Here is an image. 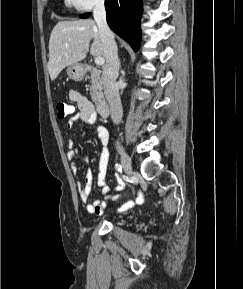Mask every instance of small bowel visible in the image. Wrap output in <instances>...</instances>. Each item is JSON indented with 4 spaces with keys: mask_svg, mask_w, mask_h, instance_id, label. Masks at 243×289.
I'll return each mask as SVG.
<instances>
[{
    "mask_svg": "<svg viewBox=\"0 0 243 289\" xmlns=\"http://www.w3.org/2000/svg\"><path fill=\"white\" fill-rule=\"evenodd\" d=\"M69 98L71 101L75 102L78 107V112L70 118L67 123L68 129H73L77 122H83L91 127H93L94 132L97 134L98 139L102 145L100 156H99V163H98V178H97V185L101 190L102 199H96L92 203L87 204L86 210L90 214L101 215L103 214L105 208V200L110 198V190L106 184V174L108 169V162H109V151L107 148L109 142V133L108 130L102 125H96L97 115L94 111L92 103L79 91L77 90H70L69 91ZM69 146L71 151L68 154L69 159L72 161V171L73 173H77L79 163L85 162V156L83 153L74 147L73 141L69 142ZM85 186H79V195L80 199L83 203H87L92 190V182H93V173L90 169L86 171L85 174ZM122 183H119L115 190H121ZM143 201L142 195L140 194L139 197L136 199V202L128 201L121 206L119 211H125L132 208L135 204H141Z\"/></svg>",
    "mask_w": 243,
    "mask_h": 289,
    "instance_id": "obj_1",
    "label": "small bowel"
}]
</instances>
